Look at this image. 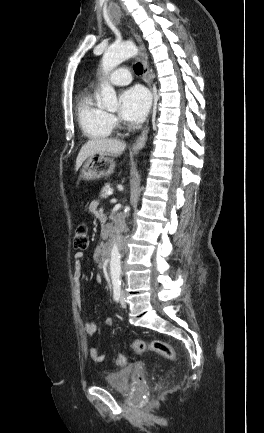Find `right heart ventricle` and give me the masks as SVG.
I'll return each mask as SVG.
<instances>
[{
    "mask_svg": "<svg viewBox=\"0 0 264 433\" xmlns=\"http://www.w3.org/2000/svg\"><path fill=\"white\" fill-rule=\"evenodd\" d=\"M76 115L83 134L90 139L106 138L113 132L109 114L98 105L94 93L90 91L78 97Z\"/></svg>",
    "mask_w": 264,
    "mask_h": 433,
    "instance_id": "obj_1",
    "label": "right heart ventricle"
}]
</instances>
